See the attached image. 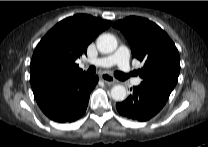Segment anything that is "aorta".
Segmentation results:
<instances>
[{"instance_id":"aorta-1","label":"aorta","mask_w":208,"mask_h":147,"mask_svg":"<svg viewBox=\"0 0 208 147\" xmlns=\"http://www.w3.org/2000/svg\"><path fill=\"white\" fill-rule=\"evenodd\" d=\"M96 45H97V49L101 53L106 54V53L114 52L118 46V42H117V39L114 35L109 34V33H105V34H101L97 38ZM111 97L115 101L125 100L127 97V92H126L125 87L122 85L113 86L111 89Z\"/></svg>"}]
</instances>
